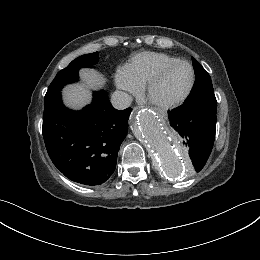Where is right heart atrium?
<instances>
[{
    "label": "right heart atrium",
    "instance_id": "right-heart-atrium-1",
    "mask_svg": "<svg viewBox=\"0 0 260 260\" xmlns=\"http://www.w3.org/2000/svg\"><path fill=\"white\" fill-rule=\"evenodd\" d=\"M115 83L118 89H120L125 95H137L142 85L132 81L124 72V70H119L115 76Z\"/></svg>",
    "mask_w": 260,
    "mask_h": 260
}]
</instances>
